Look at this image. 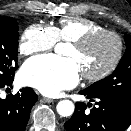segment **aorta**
Returning <instances> with one entry per match:
<instances>
[{
    "label": "aorta",
    "instance_id": "762f6f07",
    "mask_svg": "<svg viewBox=\"0 0 131 131\" xmlns=\"http://www.w3.org/2000/svg\"><path fill=\"white\" fill-rule=\"evenodd\" d=\"M64 44L58 43L55 45L54 50L56 53H63ZM57 112L62 117H69L74 112V104L70 100H62L57 104Z\"/></svg>",
    "mask_w": 131,
    "mask_h": 131
}]
</instances>
